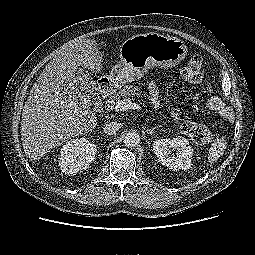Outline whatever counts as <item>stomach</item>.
<instances>
[{"label":"stomach","mask_w":255,"mask_h":255,"mask_svg":"<svg viewBox=\"0 0 255 255\" xmlns=\"http://www.w3.org/2000/svg\"><path fill=\"white\" fill-rule=\"evenodd\" d=\"M188 48L177 38L158 33L136 34L120 46V62L108 76L112 88L118 89L126 83L142 78L150 68H172L187 55Z\"/></svg>","instance_id":"1"}]
</instances>
